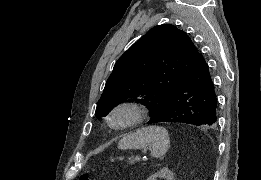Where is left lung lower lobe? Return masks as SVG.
Returning a JSON list of instances; mask_svg holds the SVG:
<instances>
[{"instance_id": "0a47b994", "label": "left lung lower lobe", "mask_w": 261, "mask_h": 180, "mask_svg": "<svg viewBox=\"0 0 261 180\" xmlns=\"http://www.w3.org/2000/svg\"><path fill=\"white\" fill-rule=\"evenodd\" d=\"M217 97L208 65L201 54L185 73L170 96L167 110L150 124L182 122L215 127Z\"/></svg>"}]
</instances>
